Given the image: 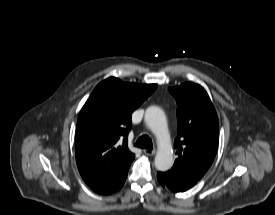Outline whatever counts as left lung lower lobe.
<instances>
[{
	"label": "left lung lower lobe",
	"instance_id": "obj_1",
	"mask_svg": "<svg viewBox=\"0 0 275 215\" xmlns=\"http://www.w3.org/2000/svg\"><path fill=\"white\" fill-rule=\"evenodd\" d=\"M157 179L163 187L173 192H184L197 183L193 180L183 178L170 170L167 172H158Z\"/></svg>",
	"mask_w": 275,
	"mask_h": 215
}]
</instances>
